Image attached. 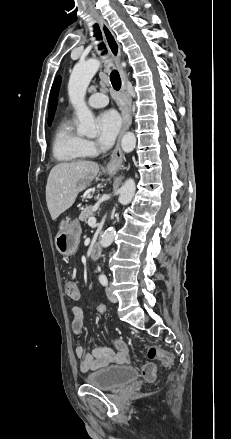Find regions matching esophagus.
I'll use <instances>...</instances> for the list:
<instances>
[{
    "mask_svg": "<svg viewBox=\"0 0 231 439\" xmlns=\"http://www.w3.org/2000/svg\"><path fill=\"white\" fill-rule=\"evenodd\" d=\"M95 17L98 20V22L100 23V26L102 28L107 46L109 48V51H110V53L115 61L116 67H117L118 72L120 74V77L122 80V88L126 94V101H127V108L124 112L123 127L121 129L120 134H119L116 146L112 152L110 161L106 165L107 172L116 173L120 169L122 162H123V153H122L121 146H120L121 138H122L123 134L129 129L131 122H132V111H131L132 99L126 92V89H127L126 74L120 65L121 46H120L119 42L117 41L114 32L111 30V28L108 26V24L102 19V17L97 15V14L95 15Z\"/></svg>",
    "mask_w": 231,
    "mask_h": 439,
    "instance_id": "esophagus-1",
    "label": "esophagus"
}]
</instances>
